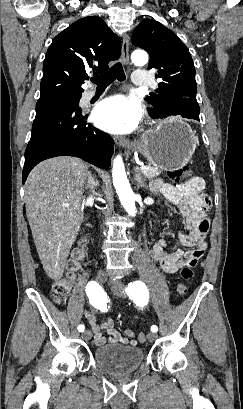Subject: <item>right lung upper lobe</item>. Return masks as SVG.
Returning a JSON list of instances; mask_svg holds the SVG:
<instances>
[{
	"mask_svg": "<svg viewBox=\"0 0 243 409\" xmlns=\"http://www.w3.org/2000/svg\"><path fill=\"white\" fill-rule=\"evenodd\" d=\"M120 54V39L103 19L77 20L54 38L46 52L38 101L81 96L87 73H103Z\"/></svg>",
	"mask_w": 243,
	"mask_h": 409,
	"instance_id": "obj_1",
	"label": "right lung upper lobe"
}]
</instances>
